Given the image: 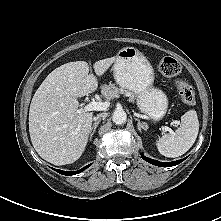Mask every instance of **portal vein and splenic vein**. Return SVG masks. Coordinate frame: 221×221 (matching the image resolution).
<instances>
[{"mask_svg": "<svg viewBox=\"0 0 221 221\" xmlns=\"http://www.w3.org/2000/svg\"><path fill=\"white\" fill-rule=\"evenodd\" d=\"M109 107V102L104 101V102H90L84 107V111H103L106 110ZM171 125H180V122L177 120H173L171 122ZM168 131H171L170 128H167Z\"/></svg>", "mask_w": 221, "mask_h": 221, "instance_id": "portal-vein-and-splenic-vein-1", "label": "portal vein and splenic vein"}]
</instances>
